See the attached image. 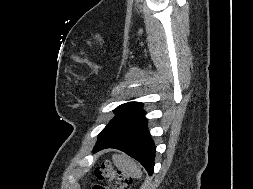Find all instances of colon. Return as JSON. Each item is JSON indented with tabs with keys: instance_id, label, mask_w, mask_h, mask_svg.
<instances>
[{
	"instance_id": "obj_1",
	"label": "colon",
	"mask_w": 253,
	"mask_h": 189,
	"mask_svg": "<svg viewBox=\"0 0 253 189\" xmlns=\"http://www.w3.org/2000/svg\"><path fill=\"white\" fill-rule=\"evenodd\" d=\"M95 177L98 181L106 180L108 187L101 184H94L92 189H127L130 185V178L120 170L113 169L108 162H103L95 169Z\"/></svg>"
}]
</instances>
